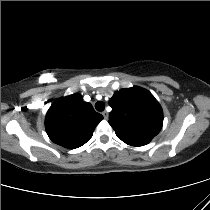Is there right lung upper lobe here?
I'll list each match as a JSON object with an SVG mask.
<instances>
[{
  "label": "right lung upper lobe",
  "mask_w": 210,
  "mask_h": 210,
  "mask_svg": "<svg viewBox=\"0 0 210 210\" xmlns=\"http://www.w3.org/2000/svg\"><path fill=\"white\" fill-rule=\"evenodd\" d=\"M103 116L92 105L82 100L80 94L60 98L49 108L45 128L49 138L68 149L84 145Z\"/></svg>",
  "instance_id": "obj_1"
}]
</instances>
